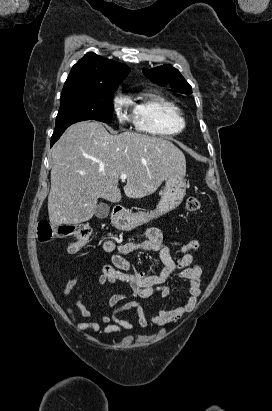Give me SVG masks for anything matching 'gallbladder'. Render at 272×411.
<instances>
[{
  "mask_svg": "<svg viewBox=\"0 0 272 411\" xmlns=\"http://www.w3.org/2000/svg\"><path fill=\"white\" fill-rule=\"evenodd\" d=\"M110 207L106 203H99L95 210V216L99 219L106 218L109 214Z\"/></svg>",
  "mask_w": 272,
  "mask_h": 411,
  "instance_id": "1",
  "label": "gallbladder"
}]
</instances>
